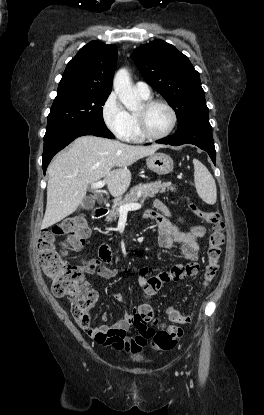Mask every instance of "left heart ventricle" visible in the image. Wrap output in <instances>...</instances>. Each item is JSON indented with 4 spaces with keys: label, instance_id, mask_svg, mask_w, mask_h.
<instances>
[{
    "label": "left heart ventricle",
    "instance_id": "left-heart-ventricle-1",
    "mask_svg": "<svg viewBox=\"0 0 264 415\" xmlns=\"http://www.w3.org/2000/svg\"><path fill=\"white\" fill-rule=\"evenodd\" d=\"M142 110V106L138 111ZM145 120L148 131L153 135H159L168 130L172 116L167 108L156 105L145 112Z\"/></svg>",
    "mask_w": 264,
    "mask_h": 415
}]
</instances>
